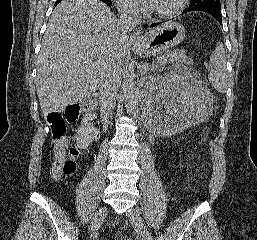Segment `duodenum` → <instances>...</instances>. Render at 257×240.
I'll use <instances>...</instances> for the list:
<instances>
[{"label":"duodenum","instance_id":"duodenum-1","mask_svg":"<svg viewBox=\"0 0 257 240\" xmlns=\"http://www.w3.org/2000/svg\"><path fill=\"white\" fill-rule=\"evenodd\" d=\"M96 102H97V99L95 95H88L82 101V108L87 118L88 126L93 129V131L95 132V136L97 137L98 128L95 126V124L92 121Z\"/></svg>","mask_w":257,"mask_h":240}]
</instances>
